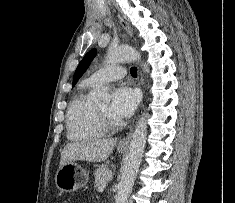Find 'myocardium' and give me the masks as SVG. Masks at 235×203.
Returning <instances> with one entry per match:
<instances>
[{"instance_id": "obj_1", "label": "myocardium", "mask_w": 235, "mask_h": 203, "mask_svg": "<svg viewBox=\"0 0 235 203\" xmlns=\"http://www.w3.org/2000/svg\"><path fill=\"white\" fill-rule=\"evenodd\" d=\"M98 116L101 124L105 130H111L115 128V122L109 117V115L97 107Z\"/></svg>"}]
</instances>
